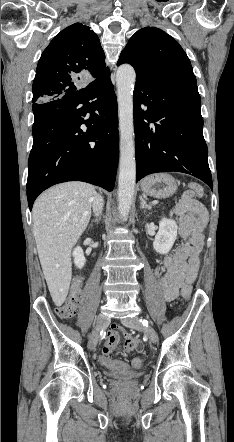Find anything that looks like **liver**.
Listing matches in <instances>:
<instances>
[{
	"label": "liver",
	"mask_w": 234,
	"mask_h": 442,
	"mask_svg": "<svg viewBox=\"0 0 234 442\" xmlns=\"http://www.w3.org/2000/svg\"><path fill=\"white\" fill-rule=\"evenodd\" d=\"M95 188L66 182L42 193L33 205V234L38 256L54 304L66 300L72 278L71 249L91 217Z\"/></svg>",
	"instance_id": "liver-1"
}]
</instances>
